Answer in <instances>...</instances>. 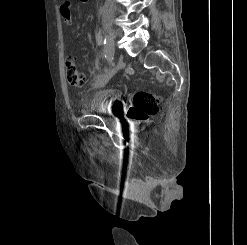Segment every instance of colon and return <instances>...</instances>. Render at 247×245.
I'll list each match as a JSON object with an SVG mask.
<instances>
[{"mask_svg":"<svg viewBox=\"0 0 247 245\" xmlns=\"http://www.w3.org/2000/svg\"><path fill=\"white\" fill-rule=\"evenodd\" d=\"M66 77L70 85L75 87L83 86L87 77L84 72L77 69L76 60L68 56L65 62ZM159 98L147 91H138L133 97V106L129 111V117L133 120H146L157 111Z\"/></svg>","mask_w":247,"mask_h":245,"instance_id":"colon-1","label":"colon"}]
</instances>
